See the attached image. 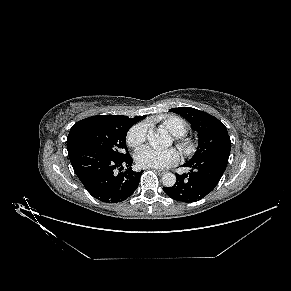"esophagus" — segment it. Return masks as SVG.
I'll use <instances>...</instances> for the list:
<instances>
[{
    "instance_id": "esophagus-1",
    "label": "esophagus",
    "mask_w": 291,
    "mask_h": 291,
    "mask_svg": "<svg viewBox=\"0 0 291 291\" xmlns=\"http://www.w3.org/2000/svg\"><path fill=\"white\" fill-rule=\"evenodd\" d=\"M153 171L157 172V173L160 174V175L164 174V171H162V170H156V169H153Z\"/></svg>"
}]
</instances>
